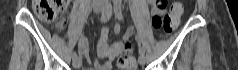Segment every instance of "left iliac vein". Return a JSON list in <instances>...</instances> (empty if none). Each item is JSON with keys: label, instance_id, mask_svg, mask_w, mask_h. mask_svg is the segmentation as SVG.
I'll return each instance as SVG.
<instances>
[{"label": "left iliac vein", "instance_id": "left-iliac-vein-1", "mask_svg": "<svg viewBox=\"0 0 238 70\" xmlns=\"http://www.w3.org/2000/svg\"><path fill=\"white\" fill-rule=\"evenodd\" d=\"M138 62H139L140 65H144L145 64V56H144V54H140L139 55Z\"/></svg>", "mask_w": 238, "mask_h": 70}]
</instances>
